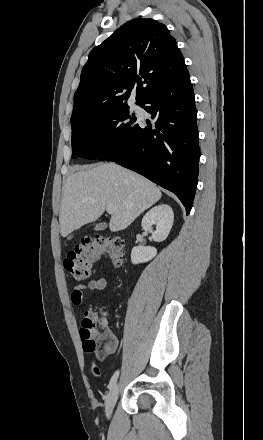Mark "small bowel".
<instances>
[{
    "label": "small bowel",
    "instance_id": "1",
    "mask_svg": "<svg viewBox=\"0 0 263 440\" xmlns=\"http://www.w3.org/2000/svg\"><path fill=\"white\" fill-rule=\"evenodd\" d=\"M108 285V280L105 277H96L90 279L88 282L84 284L76 285L71 292V302L74 306H80L85 298L86 294L93 291H102L104 290ZM104 324L106 321H103ZM118 342L114 338V341L109 349V353L114 352L117 348Z\"/></svg>",
    "mask_w": 263,
    "mask_h": 440
}]
</instances>
